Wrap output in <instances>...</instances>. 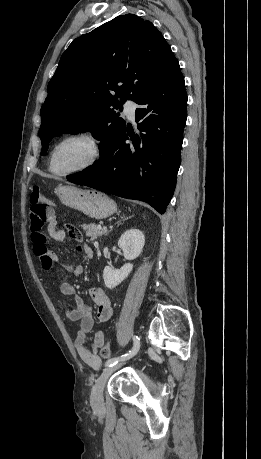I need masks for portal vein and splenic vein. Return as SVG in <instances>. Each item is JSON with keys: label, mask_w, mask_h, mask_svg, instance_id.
<instances>
[{"label": "portal vein and splenic vein", "mask_w": 261, "mask_h": 459, "mask_svg": "<svg viewBox=\"0 0 261 459\" xmlns=\"http://www.w3.org/2000/svg\"><path fill=\"white\" fill-rule=\"evenodd\" d=\"M97 228H98V229H102V230H105V231L107 230V228H106V227H103V228H102V226H101V225H98V226H97Z\"/></svg>", "instance_id": "1"}]
</instances>
